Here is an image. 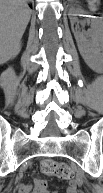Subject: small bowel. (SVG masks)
Here are the masks:
<instances>
[{"label": "small bowel", "mask_w": 103, "mask_h": 193, "mask_svg": "<svg viewBox=\"0 0 103 193\" xmlns=\"http://www.w3.org/2000/svg\"><path fill=\"white\" fill-rule=\"evenodd\" d=\"M80 181L78 179H72L68 182L65 193H79ZM17 193H50L47 184L42 179H35L32 184H20L17 186ZM52 193H59L54 191Z\"/></svg>", "instance_id": "obj_1"}]
</instances>
